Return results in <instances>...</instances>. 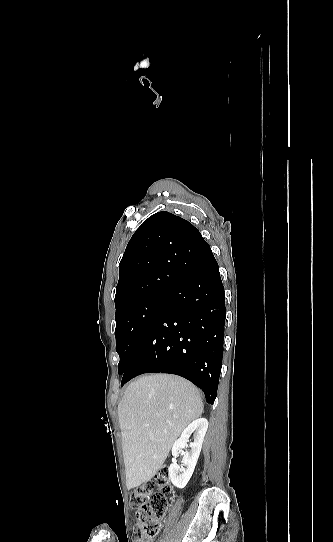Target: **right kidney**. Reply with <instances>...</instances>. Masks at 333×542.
I'll use <instances>...</instances> for the list:
<instances>
[{
    "label": "right kidney",
    "mask_w": 333,
    "mask_h": 542,
    "mask_svg": "<svg viewBox=\"0 0 333 542\" xmlns=\"http://www.w3.org/2000/svg\"><path fill=\"white\" fill-rule=\"evenodd\" d=\"M207 428L208 422L206 418H198V420H194L192 424H189L182 432L179 440H176L172 448L174 458H178L179 450H182V448H191L190 452H184L181 468L177 464L169 466V478L176 488H185L187 486L198 462ZM191 434H194V442L188 446L187 442Z\"/></svg>",
    "instance_id": "ca27d5eb"
}]
</instances>
